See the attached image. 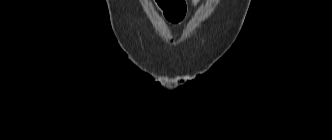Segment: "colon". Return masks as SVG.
<instances>
[{"label":"colon","mask_w":332,"mask_h":140,"mask_svg":"<svg viewBox=\"0 0 332 140\" xmlns=\"http://www.w3.org/2000/svg\"><path fill=\"white\" fill-rule=\"evenodd\" d=\"M165 17L169 20L181 18L186 10L185 0H155Z\"/></svg>","instance_id":"colon-1"}]
</instances>
